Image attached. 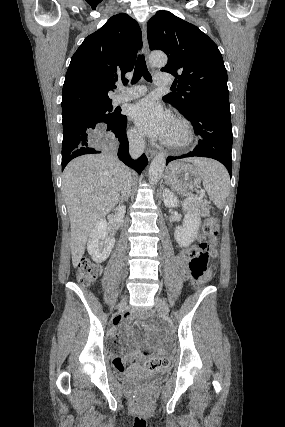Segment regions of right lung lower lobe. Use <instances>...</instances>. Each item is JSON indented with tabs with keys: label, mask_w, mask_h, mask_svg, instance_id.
I'll use <instances>...</instances> for the list:
<instances>
[{
	"label": "right lung lower lobe",
	"mask_w": 285,
	"mask_h": 427,
	"mask_svg": "<svg viewBox=\"0 0 285 427\" xmlns=\"http://www.w3.org/2000/svg\"><path fill=\"white\" fill-rule=\"evenodd\" d=\"M123 117L115 124L112 130H109L116 138L118 145V157L129 167L133 168L138 173L144 169L148 160L143 154L139 159L133 160L129 155V144L126 136L127 117ZM62 142V170L67 163L75 157L84 154L100 153L99 150L103 145L101 138L105 130H101V126L92 123L88 120H78L72 124H68L65 128Z\"/></svg>",
	"instance_id": "obj_1"
}]
</instances>
